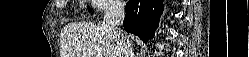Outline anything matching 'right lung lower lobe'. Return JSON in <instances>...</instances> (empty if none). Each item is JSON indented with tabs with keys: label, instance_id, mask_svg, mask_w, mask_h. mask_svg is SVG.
<instances>
[{
	"label": "right lung lower lobe",
	"instance_id": "obj_1",
	"mask_svg": "<svg viewBox=\"0 0 249 57\" xmlns=\"http://www.w3.org/2000/svg\"><path fill=\"white\" fill-rule=\"evenodd\" d=\"M163 0H134L126 4L124 28L144 43L153 38L158 20L163 13Z\"/></svg>",
	"mask_w": 249,
	"mask_h": 57
}]
</instances>
